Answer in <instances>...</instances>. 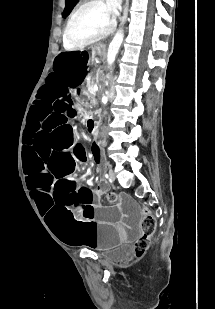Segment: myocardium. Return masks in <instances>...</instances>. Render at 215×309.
Segmentation results:
<instances>
[{
  "mask_svg": "<svg viewBox=\"0 0 215 309\" xmlns=\"http://www.w3.org/2000/svg\"><path fill=\"white\" fill-rule=\"evenodd\" d=\"M91 7H101L105 8L103 4L93 5V4H87L84 6H81L77 8L75 11L72 12L71 18L67 20L66 25L63 30V43H69L71 44V48H89L94 43H99V38H107L108 34H114L116 25L114 19H109L108 22L105 24V27H94L93 31L90 33V38L85 39V43L80 40L79 38L75 37L73 35H69V30H76L78 28V25L74 22V20H79L80 16L79 14ZM74 22V23H73ZM72 34V33H71ZM75 34V33H73Z\"/></svg>",
  "mask_w": 215,
  "mask_h": 309,
  "instance_id": "obj_1",
  "label": "myocardium"
}]
</instances>
